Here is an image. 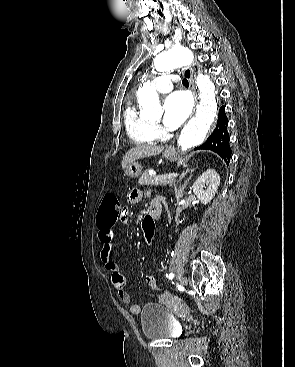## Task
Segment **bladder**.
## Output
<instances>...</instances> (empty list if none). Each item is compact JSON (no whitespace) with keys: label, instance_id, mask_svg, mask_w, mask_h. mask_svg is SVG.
Here are the masks:
<instances>
[{"label":"bladder","instance_id":"31cf9c89","mask_svg":"<svg viewBox=\"0 0 295 367\" xmlns=\"http://www.w3.org/2000/svg\"><path fill=\"white\" fill-rule=\"evenodd\" d=\"M142 333L150 340L175 339L181 326L169 310L158 303H147L140 311Z\"/></svg>","mask_w":295,"mask_h":367}]
</instances>
